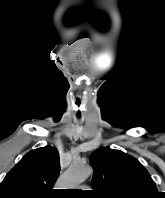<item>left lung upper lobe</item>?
<instances>
[{"mask_svg": "<svg viewBox=\"0 0 165 198\" xmlns=\"http://www.w3.org/2000/svg\"><path fill=\"white\" fill-rule=\"evenodd\" d=\"M94 168L93 193L97 198H158L150 174L134 157L109 147L95 150L89 157Z\"/></svg>", "mask_w": 165, "mask_h": 198, "instance_id": "obj_1", "label": "left lung upper lobe"}]
</instances>
